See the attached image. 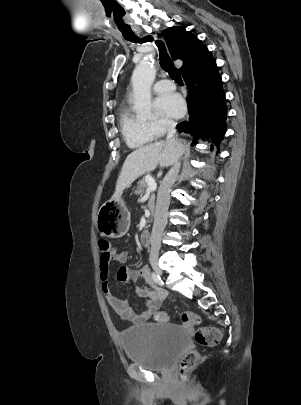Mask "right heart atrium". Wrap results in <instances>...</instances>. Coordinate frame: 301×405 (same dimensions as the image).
Segmentation results:
<instances>
[{
    "mask_svg": "<svg viewBox=\"0 0 301 405\" xmlns=\"http://www.w3.org/2000/svg\"><path fill=\"white\" fill-rule=\"evenodd\" d=\"M171 124L172 122L169 119L159 118L149 122V127L155 135H161L171 126Z\"/></svg>",
    "mask_w": 301,
    "mask_h": 405,
    "instance_id": "1",
    "label": "right heart atrium"
}]
</instances>
